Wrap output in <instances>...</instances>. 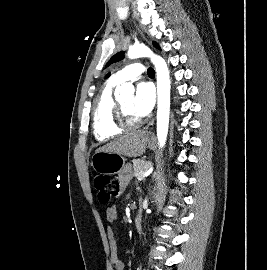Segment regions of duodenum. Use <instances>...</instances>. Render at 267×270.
Returning a JSON list of instances; mask_svg holds the SVG:
<instances>
[{"label":"duodenum","instance_id":"obj_1","mask_svg":"<svg viewBox=\"0 0 267 270\" xmlns=\"http://www.w3.org/2000/svg\"><path fill=\"white\" fill-rule=\"evenodd\" d=\"M134 225L137 230H140L142 228V214L141 210L139 211L138 215L134 219Z\"/></svg>","mask_w":267,"mask_h":270}]
</instances>
